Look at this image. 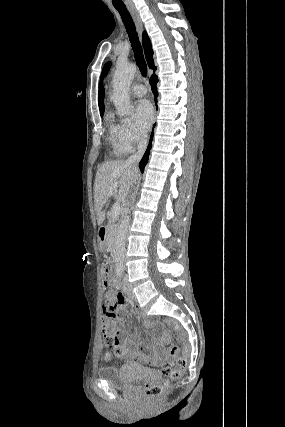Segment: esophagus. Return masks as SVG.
Here are the masks:
<instances>
[{
	"label": "esophagus",
	"instance_id": "obj_1",
	"mask_svg": "<svg viewBox=\"0 0 285 427\" xmlns=\"http://www.w3.org/2000/svg\"><path fill=\"white\" fill-rule=\"evenodd\" d=\"M128 10L134 20V23L136 25L137 31L140 35V37L142 36V32H143V22L141 20L140 14L137 11V9L134 6H128Z\"/></svg>",
	"mask_w": 285,
	"mask_h": 427
}]
</instances>
